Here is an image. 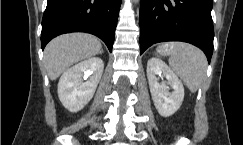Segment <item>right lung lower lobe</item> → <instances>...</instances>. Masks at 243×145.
Segmentation results:
<instances>
[{"mask_svg": "<svg viewBox=\"0 0 243 145\" xmlns=\"http://www.w3.org/2000/svg\"><path fill=\"white\" fill-rule=\"evenodd\" d=\"M122 0H47L42 19V49L54 37L87 32L101 38L110 52Z\"/></svg>", "mask_w": 243, "mask_h": 145, "instance_id": "1", "label": "right lung lower lobe"}]
</instances>
